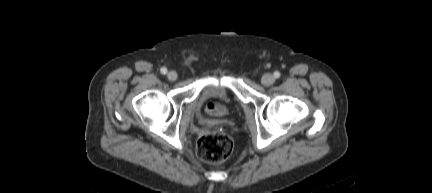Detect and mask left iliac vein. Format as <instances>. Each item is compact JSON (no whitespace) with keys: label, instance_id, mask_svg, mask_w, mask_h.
<instances>
[{"label":"left iliac vein","instance_id":"obj_1","mask_svg":"<svg viewBox=\"0 0 432 193\" xmlns=\"http://www.w3.org/2000/svg\"><path fill=\"white\" fill-rule=\"evenodd\" d=\"M274 81H275V78H274L271 74H269V73L264 74V75L262 76V78H261V82H262V84L265 85V86H270V85H272V84L274 83Z\"/></svg>","mask_w":432,"mask_h":193}]
</instances>
